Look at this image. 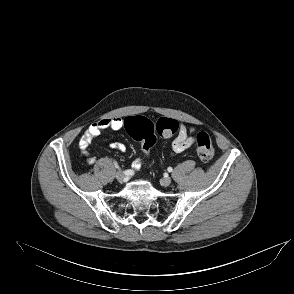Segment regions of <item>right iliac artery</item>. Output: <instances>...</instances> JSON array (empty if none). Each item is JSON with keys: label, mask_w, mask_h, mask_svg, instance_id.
<instances>
[{"label": "right iliac artery", "mask_w": 294, "mask_h": 294, "mask_svg": "<svg viewBox=\"0 0 294 294\" xmlns=\"http://www.w3.org/2000/svg\"><path fill=\"white\" fill-rule=\"evenodd\" d=\"M114 165L118 170H121L116 162H114ZM123 173L128 176H131L134 174V172L132 170H125V171H123Z\"/></svg>", "instance_id": "obj_1"}]
</instances>
